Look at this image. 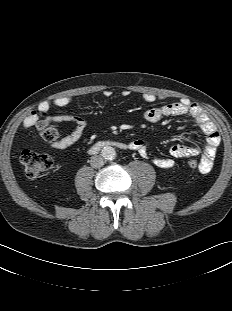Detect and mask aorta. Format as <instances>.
<instances>
[{
  "label": "aorta",
  "instance_id": "aorta-1",
  "mask_svg": "<svg viewBox=\"0 0 232 311\" xmlns=\"http://www.w3.org/2000/svg\"><path fill=\"white\" fill-rule=\"evenodd\" d=\"M101 155L103 159L107 162H112L116 159L117 153L115 149L111 146H106L102 149Z\"/></svg>",
  "mask_w": 232,
  "mask_h": 311
}]
</instances>
